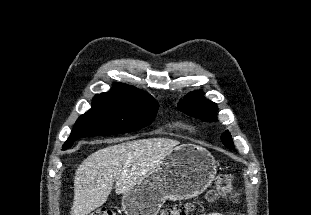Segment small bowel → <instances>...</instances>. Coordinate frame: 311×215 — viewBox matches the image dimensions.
Wrapping results in <instances>:
<instances>
[{
    "label": "small bowel",
    "mask_w": 311,
    "mask_h": 215,
    "mask_svg": "<svg viewBox=\"0 0 311 215\" xmlns=\"http://www.w3.org/2000/svg\"><path fill=\"white\" fill-rule=\"evenodd\" d=\"M202 215H223V214L217 213V212H212V213H204Z\"/></svg>",
    "instance_id": "c3829d8e"
}]
</instances>
